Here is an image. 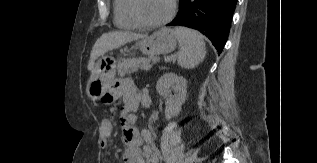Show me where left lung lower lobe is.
<instances>
[{
    "label": "left lung lower lobe",
    "instance_id": "1",
    "mask_svg": "<svg viewBox=\"0 0 317 163\" xmlns=\"http://www.w3.org/2000/svg\"><path fill=\"white\" fill-rule=\"evenodd\" d=\"M237 0H180L179 13L167 26L182 25L206 35L219 53L226 43Z\"/></svg>",
    "mask_w": 317,
    "mask_h": 163
}]
</instances>
